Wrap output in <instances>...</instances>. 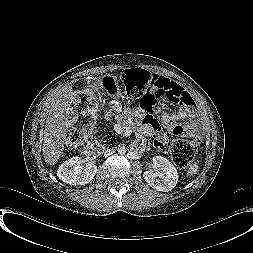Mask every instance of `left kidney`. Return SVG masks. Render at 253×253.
<instances>
[{
  "mask_svg": "<svg viewBox=\"0 0 253 253\" xmlns=\"http://www.w3.org/2000/svg\"><path fill=\"white\" fill-rule=\"evenodd\" d=\"M152 168L143 174L149 186L162 192L171 191L176 186L178 172L168 159L162 156L153 157Z\"/></svg>",
  "mask_w": 253,
  "mask_h": 253,
  "instance_id": "5707ae66",
  "label": "left kidney"
}]
</instances>
